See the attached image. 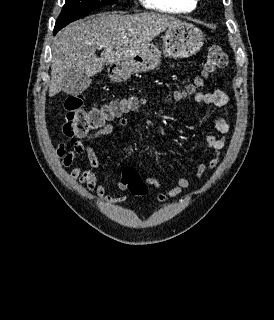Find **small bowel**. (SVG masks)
Wrapping results in <instances>:
<instances>
[{"mask_svg":"<svg viewBox=\"0 0 274 320\" xmlns=\"http://www.w3.org/2000/svg\"><path fill=\"white\" fill-rule=\"evenodd\" d=\"M228 101V96L220 89L194 95V102L197 105L208 104L225 107ZM122 104L125 109L131 107L126 102H122ZM212 122L215 129L221 133L222 136L217 137L213 134H207L205 136V141L210 152V159L208 162H200L197 165L194 174L196 179L202 178L208 170L214 169L220 164L222 150L225 147L227 140L226 136L231 128L230 123L219 115H215ZM99 124L101 128L97 131L92 132L85 137L76 139L71 150H66L65 145L60 144L56 150V157L61 160L62 166L65 168L70 167L77 157H86L91 169L85 170L81 166H76L70 171V177L73 180L79 181L82 185H85L91 194L98 196L107 204L116 205L124 202L126 197L110 195L105 186L99 182L94 170L100 167V161L93 148L90 146V143L96 139L111 135L116 128H126L128 126V120L119 115L116 124L108 122L107 119H100ZM145 181L158 191V200L161 202H166L180 196L183 191L188 189L191 185L190 181L185 177H178L176 179V185L170 188L165 187L160 178L156 175L146 176ZM116 186L120 191H125L127 189V186L122 181H118Z\"/></svg>","mask_w":274,"mask_h":320,"instance_id":"small-bowel-1","label":"small bowel"}]
</instances>
